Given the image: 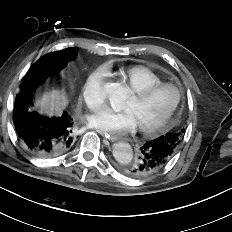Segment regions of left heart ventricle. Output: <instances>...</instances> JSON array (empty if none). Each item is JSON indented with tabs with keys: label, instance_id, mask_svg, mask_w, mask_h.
Instances as JSON below:
<instances>
[{
	"label": "left heart ventricle",
	"instance_id": "b2bd125f",
	"mask_svg": "<svg viewBox=\"0 0 232 232\" xmlns=\"http://www.w3.org/2000/svg\"><path fill=\"white\" fill-rule=\"evenodd\" d=\"M175 97V91L171 88L159 89L143 100L136 99L132 94L122 109L133 114L137 126H148L166 115Z\"/></svg>",
	"mask_w": 232,
	"mask_h": 232
}]
</instances>
